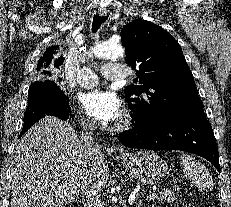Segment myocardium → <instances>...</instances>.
I'll use <instances>...</instances> for the list:
<instances>
[{
	"mask_svg": "<svg viewBox=\"0 0 231 207\" xmlns=\"http://www.w3.org/2000/svg\"><path fill=\"white\" fill-rule=\"evenodd\" d=\"M131 123V119L126 116L124 119H122L117 125H116V129L117 130H124L127 129L130 126Z\"/></svg>",
	"mask_w": 231,
	"mask_h": 207,
	"instance_id": "obj_1",
	"label": "myocardium"
}]
</instances>
